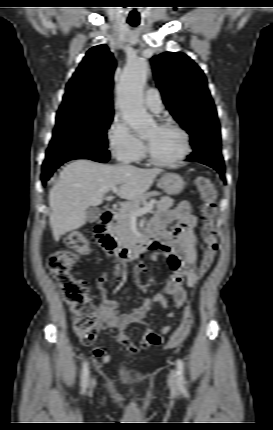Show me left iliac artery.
Returning <instances> with one entry per match:
<instances>
[{
	"label": "left iliac artery",
	"instance_id": "obj_1",
	"mask_svg": "<svg viewBox=\"0 0 273 430\" xmlns=\"http://www.w3.org/2000/svg\"><path fill=\"white\" fill-rule=\"evenodd\" d=\"M184 374H185V367L184 362L181 359H177V375H178V381L180 384H184Z\"/></svg>",
	"mask_w": 273,
	"mask_h": 430
}]
</instances>
